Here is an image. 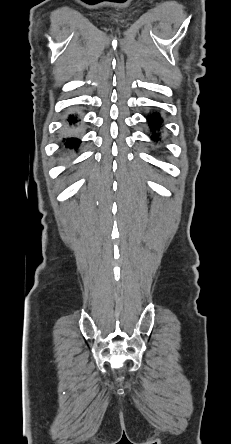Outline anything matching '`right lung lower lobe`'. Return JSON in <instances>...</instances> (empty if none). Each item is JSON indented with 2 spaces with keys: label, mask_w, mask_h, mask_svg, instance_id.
<instances>
[{
  "label": "right lung lower lobe",
  "mask_w": 231,
  "mask_h": 444,
  "mask_svg": "<svg viewBox=\"0 0 231 444\" xmlns=\"http://www.w3.org/2000/svg\"><path fill=\"white\" fill-rule=\"evenodd\" d=\"M67 121L70 125L71 124L74 125L77 122V117L74 115H70ZM64 141L67 146L78 147L80 144V140L78 138H73V137L64 139Z\"/></svg>",
  "instance_id": "right-lung-lower-lobe-1"
}]
</instances>
